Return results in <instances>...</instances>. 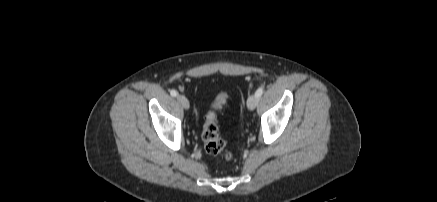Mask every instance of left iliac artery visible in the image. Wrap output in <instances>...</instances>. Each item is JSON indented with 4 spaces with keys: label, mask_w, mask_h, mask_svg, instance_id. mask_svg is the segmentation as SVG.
Listing matches in <instances>:
<instances>
[{
    "label": "left iliac artery",
    "mask_w": 437,
    "mask_h": 202,
    "mask_svg": "<svg viewBox=\"0 0 437 202\" xmlns=\"http://www.w3.org/2000/svg\"><path fill=\"white\" fill-rule=\"evenodd\" d=\"M264 88L263 87H259L255 93L257 98H260L261 95L263 94Z\"/></svg>",
    "instance_id": "obj_1"
}]
</instances>
